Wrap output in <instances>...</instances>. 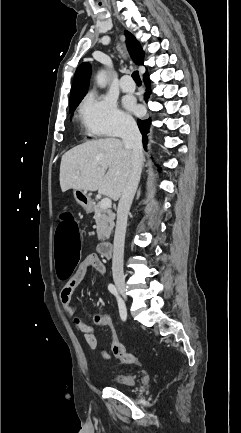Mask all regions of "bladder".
I'll return each mask as SVG.
<instances>
[{
  "instance_id": "bladder-1",
  "label": "bladder",
  "mask_w": 241,
  "mask_h": 433,
  "mask_svg": "<svg viewBox=\"0 0 241 433\" xmlns=\"http://www.w3.org/2000/svg\"><path fill=\"white\" fill-rule=\"evenodd\" d=\"M113 382L119 387H130L135 384V376L130 373H118L113 376Z\"/></svg>"
}]
</instances>
